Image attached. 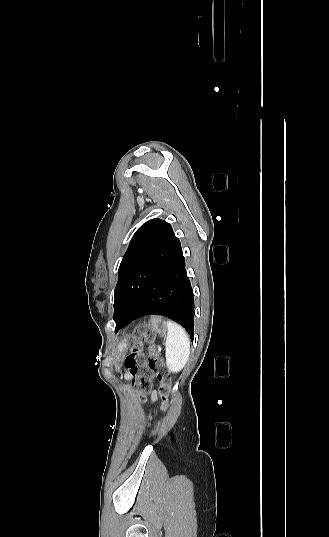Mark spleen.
<instances>
[{"mask_svg": "<svg viewBox=\"0 0 329 537\" xmlns=\"http://www.w3.org/2000/svg\"><path fill=\"white\" fill-rule=\"evenodd\" d=\"M168 332L165 343L166 362L170 371L179 372L186 365L190 355V340L186 331L173 321L167 322Z\"/></svg>", "mask_w": 329, "mask_h": 537, "instance_id": "spleen-1", "label": "spleen"}]
</instances>
